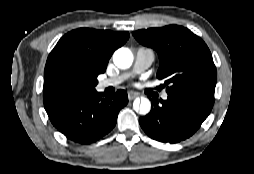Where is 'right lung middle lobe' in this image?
<instances>
[{
    "label": "right lung middle lobe",
    "instance_id": "obj_1",
    "mask_svg": "<svg viewBox=\"0 0 254 174\" xmlns=\"http://www.w3.org/2000/svg\"><path fill=\"white\" fill-rule=\"evenodd\" d=\"M98 81L70 68H60L44 81V100L70 94H79L95 89Z\"/></svg>",
    "mask_w": 254,
    "mask_h": 174
}]
</instances>
